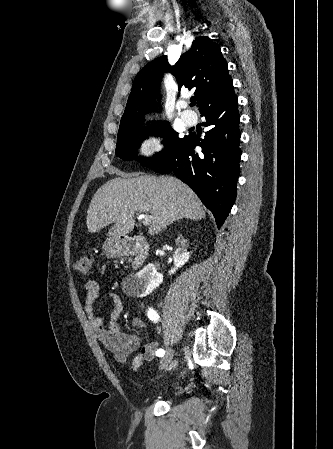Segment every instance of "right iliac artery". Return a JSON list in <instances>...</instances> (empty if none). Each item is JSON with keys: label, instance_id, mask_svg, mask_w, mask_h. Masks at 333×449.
I'll return each instance as SVG.
<instances>
[{"label": "right iliac artery", "instance_id": "obj_1", "mask_svg": "<svg viewBox=\"0 0 333 449\" xmlns=\"http://www.w3.org/2000/svg\"><path fill=\"white\" fill-rule=\"evenodd\" d=\"M148 317L152 320V321H157L158 320V315H157V313L153 310V309H151V308H149V310H148ZM165 354V351L163 350V349H158L157 351H156V356H163Z\"/></svg>", "mask_w": 333, "mask_h": 449}]
</instances>
